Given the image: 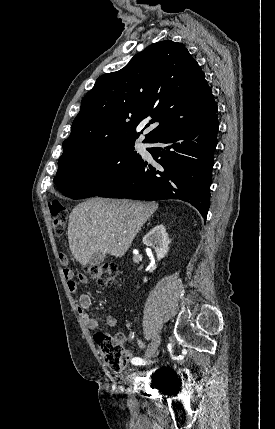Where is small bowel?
Listing matches in <instances>:
<instances>
[{"label": "small bowel", "mask_w": 275, "mask_h": 429, "mask_svg": "<svg viewBox=\"0 0 275 429\" xmlns=\"http://www.w3.org/2000/svg\"><path fill=\"white\" fill-rule=\"evenodd\" d=\"M63 272L67 282L68 290L71 293H76L77 282L74 280L73 271L71 269L65 268ZM79 281L82 283H86L87 279L85 276L80 275ZM91 307H92L91 297L86 293L81 294L78 298V311L81 315L82 321L85 324V326L90 330H95L98 328V320L88 313ZM106 322H107V325L110 327H114L117 324V320L113 315H108ZM118 336H120L123 339V341H127L130 339L129 337H126L122 334H119ZM137 344L141 348L145 347V344L141 340H137Z\"/></svg>", "instance_id": "1"}]
</instances>
